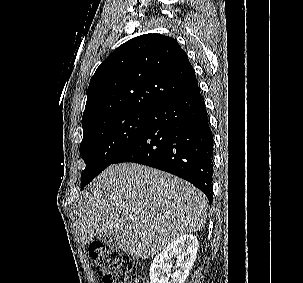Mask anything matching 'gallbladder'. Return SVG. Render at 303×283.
Wrapping results in <instances>:
<instances>
[{
  "label": "gallbladder",
  "mask_w": 303,
  "mask_h": 283,
  "mask_svg": "<svg viewBox=\"0 0 303 283\" xmlns=\"http://www.w3.org/2000/svg\"><path fill=\"white\" fill-rule=\"evenodd\" d=\"M101 241L103 243H105L107 246L111 247V248H118L119 247L118 239L116 238L115 234L101 237Z\"/></svg>",
  "instance_id": "1"
}]
</instances>
